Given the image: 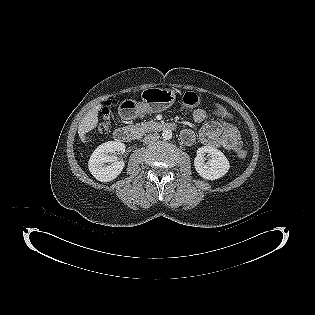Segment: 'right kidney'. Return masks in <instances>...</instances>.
<instances>
[{
    "instance_id": "obj_1",
    "label": "right kidney",
    "mask_w": 315,
    "mask_h": 315,
    "mask_svg": "<svg viewBox=\"0 0 315 315\" xmlns=\"http://www.w3.org/2000/svg\"><path fill=\"white\" fill-rule=\"evenodd\" d=\"M124 151L125 144L117 141H108L98 146L88 162L89 171L94 178L101 182L114 180L125 166L124 161L118 160L115 154Z\"/></svg>"
}]
</instances>
